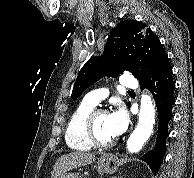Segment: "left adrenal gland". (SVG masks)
<instances>
[{
	"label": "left adrenal gland",
	"mask_w": 194,
	"mask_h": 178,
	"mask_svg": "<svg viewBox=\"0 0 194 178\" xmlns=\"http://www.w3.org/2000/svg\"><path fill=\"white\" fill-rule=\"evenodd\" d=\"M112 178H123V177H122V176H118V177L114 176V177H112Z\"/></svg>",
	"instance_id": "a2214340"
}]
</instances>
